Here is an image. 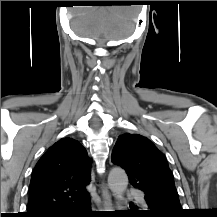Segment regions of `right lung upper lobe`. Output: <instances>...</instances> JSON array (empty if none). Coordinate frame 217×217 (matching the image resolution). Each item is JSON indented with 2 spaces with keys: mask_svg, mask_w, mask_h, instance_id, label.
Wrapping results in <instances>:
<instances>
[{
  "mask_svg": "<svg viewBox=\"0 0 217 217\" xmlns=\"http://www.w3.org/2000/svg\"><path fill=\"white\" fill-rule=\"evenodd\" d=\"M91 162L72 138L56 142L37 162L31 177L25 217H48L89 199Z\"/></svg>",
  "mask_w": 217,
  "mask_h": 217,
  "instance_id": "1",
  "label": "right lung upper lobe"
}]
</instances>
